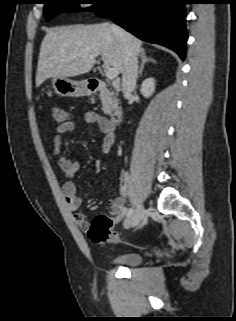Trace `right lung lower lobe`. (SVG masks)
<instances>
[{
    "instance_id": "right-lung-lower-lobe-1",
    "label": "right lung lower lobe",
    "mask_w": 236,
    "mask_h": 321,
    "mask_svg": "<svg viewBox=\"0 0 236 321\" xmlns=\"http://www.w3.org/2000/svg\"><path fill=\"white\" fill-rule=\"evenodd\" d=\"M185 0H110L96 11L141 40L161 44L185 58Z\"/></svg>"
}]
</instances>
